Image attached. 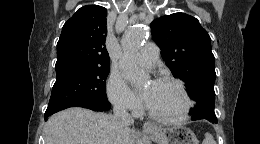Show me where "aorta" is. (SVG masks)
<instances>
[{
  "mask_svg": "<svg viewBox=\"0 0 260 144\" xmlns=\"http://www.w3.org/2000/svg\"><path fill=\"white\" fill-rule=\"evenodd\" d=\"M145 39L146 31L140 26H133L124 33L121 40L123 54L119 64L125 77L135 85L142 84L148 78V75L140 70L135 59V55Z\"/></svg>",
  "mask_w": 260,
  "mask_h": 144,
  "instance_id": "aorta-1",
  "label": "aorta"
}]
</instances>
